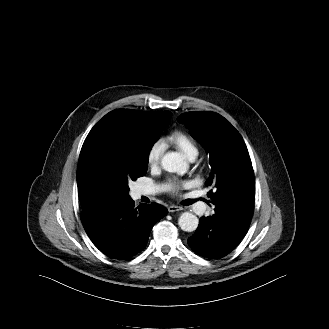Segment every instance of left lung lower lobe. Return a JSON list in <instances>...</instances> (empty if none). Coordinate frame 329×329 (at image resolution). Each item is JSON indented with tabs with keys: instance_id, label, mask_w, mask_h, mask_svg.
I'll list each match as a JSON object with an SVG mask.
<instances>
[{
	"instance_id": "obj_1",
	"label": "left lung lower lobe",
	"mask_w": 329,
	"mask_h": 329,
	"mask_svg": "<svg viewBox=\"0 0 329 329\" xmlns=\"http://www.w3.org/2000/svg\"><path fill=\"white\" fill-rule=\"evenodd\" d=\"M254 179V178H253ZM253 179L233 199L215 203V213L202 217L189 246L207 258H222L238 246L246 235L254 210Z\"/></svg>"
}]
</instances>
